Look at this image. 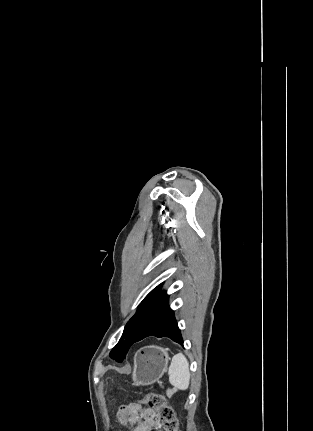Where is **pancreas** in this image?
<instances>
[{
  "mask_svg": "<svg viewBox=\"0 0 313 431\" xmlns=\"http://www.w3.org/2000/svg\"><path fill=\"white\" fill-rule=\"evenodd\" d=\"M173 393H174V390H173V389H168V390H167V395H168V396H171Z\"/></svg>",
  "mask_w": 313,
  "mask_h": 431,
  "instance_id": "pancreas-1",
  "label": "pancreas"
}]
</instances>
